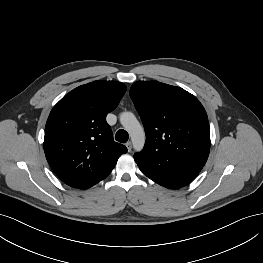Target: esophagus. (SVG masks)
Wrapping results in <instances>:
<instances>
[{
	"instance_id": "1",
	"label": "esophagus",
	"mask_w": 263,
	"mask_h": 263,
	"mask_svg": "<svg viewBox=\"0 0 263 263\" xmlns=\"http://www.w3.org/2000/svg\"><path fill=\"white\" fill-rule=\"evenodd\" d=\"M125 145H126V147H127L128 152H130L131 149H132V143H131V141L127 142Z\"/></svg>"
}]
</instances>
